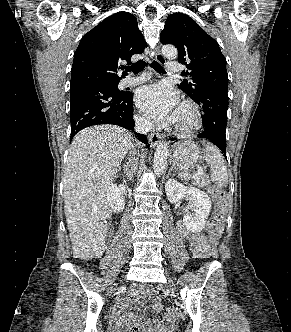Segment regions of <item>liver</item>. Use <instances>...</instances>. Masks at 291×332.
I'll list each match as a JSON object with an SVG mask.
<instances>
[{"mask_svg": "<svg viewBox=\"0 0 291 332\" xmlns=\"http://www.w3.org/2000/svg\"><path fill=\"white\" fill-rule=\"evenodd\" d=\"M130 147V133L112 125L86 128L71 142L64 211L75 258H101L104 253L111 217L107 189Z\"/></svg>", "mask_w": 291, "mask_h": 332, "instance_id": "1", "label": "liver"}]
</instances>
